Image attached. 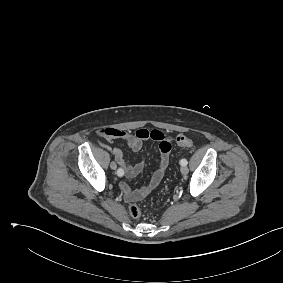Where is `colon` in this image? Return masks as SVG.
Listing matches in <instances>:
<instances>
[{
  "label": "colon",
  "mask_w": 283,
  "mask_h": 283,
  "mask_svg": "<svg viewBox=\"0 0 283 283\" xmlns=\"http://www.w3.org/2000/svg\"><path fill=\"white\" fill-rule=\"evenodd\" d=\"M176 142L181 147L192 148L194 146V142L184 135H178L176 138ZM128 212L134 218L139 217L141 214L140 208L135 203H131L128 206Z\"/></svg>",
  "instance_id": "1"
}]
</instances>
